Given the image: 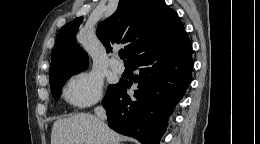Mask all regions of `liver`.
Returning a JSON list of instances; mask_svg holds the SVG:
<instances>
[{
	"label": "liver",
	"instance_id": "obj_1",
	"mask_svg": "<svg viewBox=\"0 0 260 144\" xmlns=\"http://www.w3.org/2000/svg\"><path fill=\"white\" fill-rule=\"evenodd\" d=\"M122 139L107 125L100 127L97 117L85 113L57 120L51 133V144H120Z\"/></svg>",
	"mask_w": 260,
	"mask_h": 144
}]
</instances>
